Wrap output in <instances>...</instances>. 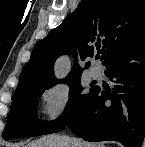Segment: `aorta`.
<instances>
[{"mask_svg":"<svg viewBox=\"0 0 145 147\" xmlns=\"http://www.w3.org/2000/svg\"><path fill=\"white\" fill-rule=\"evenodd\" d=\"M67 67H68L67 60L65 58H61L60 60H58L56 64V74L58 76H63L67 71Z\"/></svg>","mask_w":145,"mask_h":147,"instance_id":"1","label":"aorta"}]
</instances>
